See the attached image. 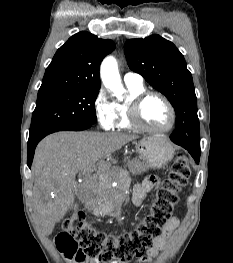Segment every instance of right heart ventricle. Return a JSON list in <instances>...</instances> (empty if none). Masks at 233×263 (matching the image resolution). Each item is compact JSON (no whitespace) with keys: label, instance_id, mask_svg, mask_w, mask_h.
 Segmentation results:
<instances>
[{"label":"right heart ventricle","instance_id":"right-heart-ventricle-1","mask_svg":"<svg viewBox=\"0 0 233 263\" xmlns=\"http://www.w3.org/2000/svg\"><path fill=\"white\" fill-rule=\"evenodd\" d=\"M128 95L124 102H114V110L117 117V123L116 127L118 129H131V123L129 121V115H128V108L135 96H137L139 93L145 91V87L143 84H126ZM115 127V128H116Z\"/></svg>","mask_w":233,"mask_h":263}]
</instances>
